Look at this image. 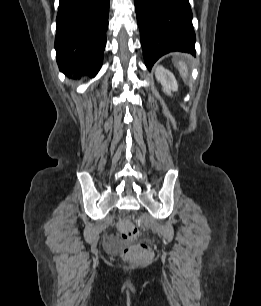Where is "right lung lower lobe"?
Masks as SVG:
<instances>
[{
  "instance_id": "1",
  "label": "right lung lower lobe",
  "mask_w": 261,
  "mask_h": 306,
  "mask_svg": "<svg viewBox=\"0 0 261 306\" xmlns=\"http://www.w3.org/2000/svg\"><path fill=\"white\" fill-rule=\"evenodd\" d=\"M55 49L61 71L96 74L102 65L109 0H59Z\"/></svg>"
}]
</instances>
